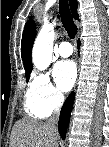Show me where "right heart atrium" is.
Instances as JSON below:
<instances>
[{"instance_id":"d8ad5b80","label":"right heart atrium","mask_w":109,"mask_h":147,"mask_svg":"<svg viewBox=\"0 0 109 147\" xmlns=\"http://www.w3.org/2000/svg\"><path fill=\"white\" fill-rule=\"evenodd\" d=\"M27 99L49 115L60 108L64 95L52 84L48 73L39 72L29 83Z\"/></svg>"}]
</instances>
